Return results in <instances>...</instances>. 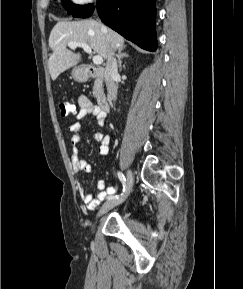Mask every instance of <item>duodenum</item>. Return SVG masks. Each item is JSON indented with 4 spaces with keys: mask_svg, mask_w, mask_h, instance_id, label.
Returning a JSON list of instances; mask_svg holds the SVG:
<instances>
[{
    "mask_svg": "<svg viewBox=\"0 0 243 289\" xmlns=\"http://www.w3.org/2000/svg\"><path fill=\"white\" fill-rule=\"evenodd\" d=\"M84 74L89 78L103 81L106 72L103 68L87 65L84 67ZM97 104L102 112L107 113L109 111V102L103 90H100L97 95Z\"/></svg>",
    "mask_w": 243,
    "mask_h": 289,
    "instance_id": "duodenum-1",
    "label": "duodenum"
}]
</instances>
